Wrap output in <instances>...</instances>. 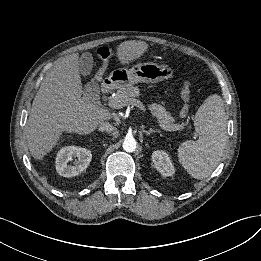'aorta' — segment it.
<instances>
[{"mask_svg":"<svg viewBox=\"0 0 261 261\" xmlns=\"http://www.w3.org/2000/svg\"><path fill=\"white\" fill-rule=\"evenodd\" d=\"M122 146L126 152H134L136 150L137 143L133 137H126Z\"/></svg>","mask_w":261,"mask_h":261,"instance_id":"1","label":"aorta"}]
</instances>
